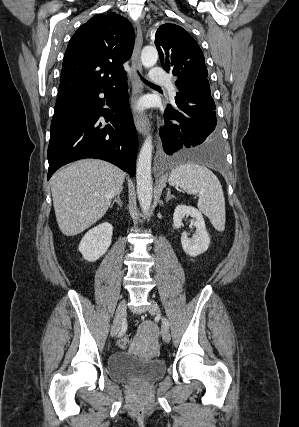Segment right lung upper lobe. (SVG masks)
<instances>
[{
	"label": "right lung upper lobe",
	"instance_id": "cb5924a9",
	"mask_svg": "<svg viewBox=\"0 0 299 427\" xmlns=\"http://www.w3.org/2000/svg\"><path fill=\"white\" fill-rule=\"evenodd\" d=\"M134 40L130 22L115 13L96 15L81 25L64 55L57 101L121 79Z\"/></svg>",
	"mask_w": 299,
	"mask_h": 427
}]
</instances>
